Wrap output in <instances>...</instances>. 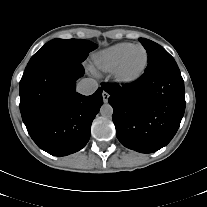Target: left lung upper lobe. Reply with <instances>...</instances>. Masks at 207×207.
Segmentation results:
<instances>
[{
  "label": "left lung upper lobe",
  "mask_w": 207,
  "mask_h": 207,
  "mask_svg": "<svg viewBox=\"0 0 207 207\" xmlns=\"http://www.w3.org/2000/svg\"><path fill=\"white\" fill-rule=\"evenodd\" d=\"M139 41L148 54V65L145 71H151L164 64L175 62L174 58L159 44L145 38H139Z\"/></svg>",
  "instance_id": "left-lung-upper-lobe-1"
}]
</instances>
